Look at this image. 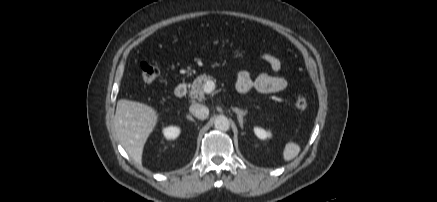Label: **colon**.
<instances>
[{
  "instance_id": "1",
  "label": "colon",
  "mask_w": 437,
  "mask_h": 202,
  "mask_svg": "<svg viewBox=\"0 0 437 202\" xmlns=\"http://www.w3.org/2000/svg\"><path fill=\"white\" fill-rule=\"evenodd\" d=\"M159 75V69L156 65L151 63H142L141 64V77L145 84L153 83ZM294 107L303 111L308 107V101L305 97L299 96L294 101Z\"/></svg>"
}]
</instances>
